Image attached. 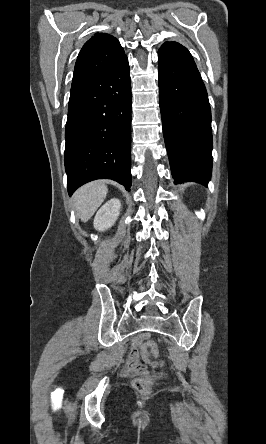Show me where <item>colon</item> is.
<instances>
[{
  "mask_svg": "<svg viewBox=\"0 0 266 444\" xmlns=\"http://www.w3.org/2000/svg\"><path fill=\"white\" fill-rule=\"evenodd\" d=\"M140 353L147 361L151 359H157L159 354L157 345L152 340H147L141 344ZM152 384V380L147 378L139 377L133 380L134 388L141 393L149 392L151 390Z\"/></svg>",
  "mask_w": 266,
  "mask_h": 444,
  "instance_id": "5ec220e1",
  "label": "colon"
}]
</instances>
